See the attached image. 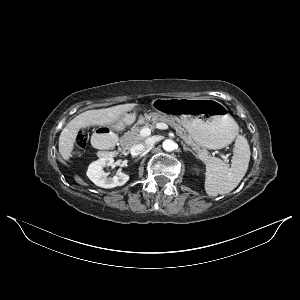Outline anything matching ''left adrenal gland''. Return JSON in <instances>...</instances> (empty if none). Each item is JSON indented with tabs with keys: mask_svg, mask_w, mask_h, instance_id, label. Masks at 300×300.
<instances>
[{
	"mask_svg": "<svg viewBox=\"0 0 300 300\" xmlns=\"http://www.w3.org/2000/svg\"><path fill=\"white\" fill-rule=\"evenodd\" d=\"M183 150H184V151H189V152H191L195 157H197V155L195 154V152H194L191 148H189L188 146H186L185 144L183 145Z\"/></svg>",
	"mask_w": 300,
	"mask_h": 300,
	"instance_id": "a2214340",
	"label": "left adrenal gland"
}]
</instances>
